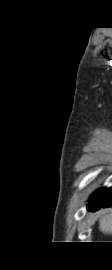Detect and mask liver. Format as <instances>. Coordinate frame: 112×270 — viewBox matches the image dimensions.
I'll use <instances>...</instances> for the list:
<instances>
[{"label": "liver", "instance_id": "1", "mask_svg": "<svg viewBox=\"0 0 112 270\" xmlns=\"http://www.w3.org/2000/svg\"><path fill=\"white\" fill-rule=\"evenodd\" d=\"M99 229L104 234H112V214L101 217L99 220Z\"/></svg>", "mask_w": 112, "mask_h": 270}]
</instances>
